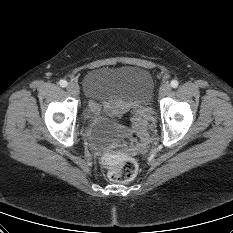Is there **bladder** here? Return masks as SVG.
<instances>
[{
    "instance_id": "1",
    "label": "bladder",
    "mask_w": 233,
    "mask_h": 233,
    "mask_svg": "<svg viewBox=\"0 0 233 233\" xmlns=\"http://www.w3.org/2000/svg\"><path fill=\"white\" fill-rule=\"evenodd\" d=\"M154 86L151 73L138 66L95 68L83 79L87 99L101 106L146 107L152 98Z\"/></svg>"
}]
</instances>
